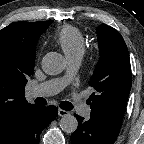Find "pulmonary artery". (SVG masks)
<instances>
[{
	"label": "pulmonary artery",
	"instance_id": "pulmonary-artery-1",
	"mask_svg": "<svg viewBox=\"0 0 144 144\" xmlns=\"http://www.w3.org/2000/svg\"><path fill=\"white\" fill-rule=\"evenodd\" d=\"M79 63L80 56L68 58V66L65 76L61 78L51 79L34 86L29 91L30 97H48L59 93L68 84L69 79L78 69ZM74 106L81 116L88 117L90 115V107L82 101L77 100Z\"/></svg>",
	"mask_w": 144,
	"mask_h": 144
}]
</instances>
